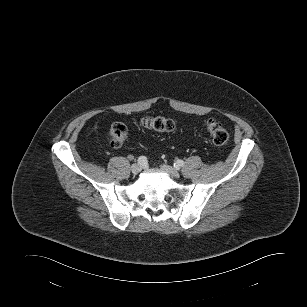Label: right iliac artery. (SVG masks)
<instances>
[{"instance_id":"right-iliac-artery-1","label":"right iliac artery","mask_w":307,"mask_h":307,"mask_svg":"<svg viewBox=\"0 0 307 307\" xmlns=\"http://www.w3.org/2000/svg\"><path fill=\"white\" fill-rule=\"evenodd\" d=\"M137 161L139 164L145 165L147 163V158L145 156H140Z\"/></svg>"}]
</instances>
